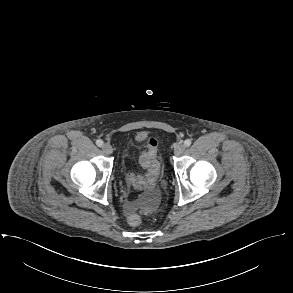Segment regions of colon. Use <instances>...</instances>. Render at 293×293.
Here are the masks:
<instances>
[{
  "label": "colon",
  "mask_w": 293,
  "mask_h": 293,
  "mask_svg": "<svg viewBox=\"0 0 293 293\" xmlns=\"http://www.w3.org/2000/svg\"><path fill=\"white\" fill-rule=\"evenodd\" d=\"M144 143L146 145V152L141 157V164L147 169V174L144 178H132L129 179L133 182L141 181L147 189H151L155 183L159 174V162L157 160V148L158 142L154 138H145ZM128 222L131 226H139L142 222V218L138 214H132L128 216Z\"/></svg>",
  "instance_id": "obj_1"
}]
</instances>
